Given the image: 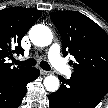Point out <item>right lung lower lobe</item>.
<instances>
[{"label":"right lung lower lobe","instance_id":"right-lung-lower-lobe-1","mask_svg":"<svg viewBox=\"0 0 108 108\" xmlns=\"http://www.w3.org/2000/svg\"><path fill=\"white\" fill-rule=\"evenodd\" d=\"M40 72L28 68L22 74L0 80V108H17L27 92L26 85L34 81Z\"/></svg>","mask_w":108,"mask_h":108}]
</instances>
